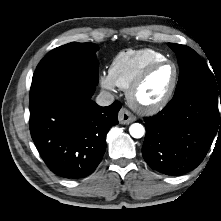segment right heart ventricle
<instances>
[{
  "mask_svg": "<svg viewBox=\"0 0 221 221\" xmlns=\"http://www.w3.org/2000/svg\"><path fill=\"white\" fill-rule=\"evenodd\" d=\"M165 58L163 53L150 48L128 49L113 59L109 75L118 87L127 89L145 66Z\"/></svg>",
  "mask_w": 221,
  "mask_h": 221,
  "instance_id": "right-heart-ventricle-1",
  "label": "right heart ventricle"
}]
</instances>
